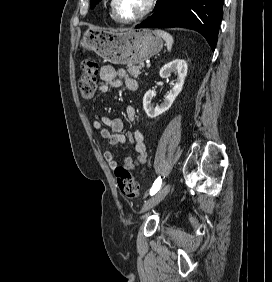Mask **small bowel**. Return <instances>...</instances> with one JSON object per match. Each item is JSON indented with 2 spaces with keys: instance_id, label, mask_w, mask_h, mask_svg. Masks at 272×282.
<instances>
[{
  "instance_id": "1",
  "label": "small bowel",
  "mask_w": 272,
  "mask_h": 282,
  "mask_svg": "<svg viewBox=\"0 0 272 282\" xmlns=\"http://www.w3.org/2000/svg\"><path fill=\"white\" fill-rule=\"evenodd\" d=\"M100 91L105 93L110 86H119L124 84L127 90L136 93L139 89L138 82L130 78L124 69H115L112 66L105 65L100 70ZM127 119L133 120L135 118V109L132 106L126 109ZM103 125L110 127L111 131L104 128ZM93 127L100 132L102 138L106 139L109 145L122 144L129 139L136 152V158L126 156L123 159V167L126 169H133L141 167L145 164L147 159V147L145 143L144 134L140 130L123 133L124 121L121 118H111L103 116L100 121H94ZM104 157L111 169L117 168L115 156L110 149L104 153Z\"/></svg>"
}]
</instances>
